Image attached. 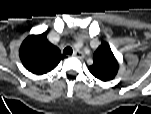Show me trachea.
I'll list each match as a JSON object with an SVG mask.
<instances>
[{
  "label": "trachea",
  "mask_w": 151,
  "mask_h": 114,
  "mask_svg": "<svg viewBox=\"0 0 151 114\" xmlns=\"http://www.w3.org/2000/svg\"><path fill=\"white\" fill-rule=\"evenodd\" d=\"M73 50L71 47H66L64 50H63V53L64 54H72Z\"/></svg>",
  "instance_id": "obj_1"
}]
</instances>
